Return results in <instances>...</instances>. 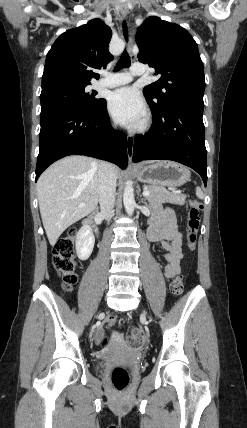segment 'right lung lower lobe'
Instances as JSON below:
<instances>
[{"label":"right lung lower lobe","instance_id":"98d812e1","mask_svg":"<svg viewBox=\"0 0 247 428\" xmlns=\"http://www.w3.org/2000/svg\"><path fill=\"white\" fill-rule=\"evenodd\" d=\"M110 132L106 100L92 113L66 108L41 112L36 181L50 164L68 155H86L104 159L126 168L128 164L126 135L114 131L108 148Z\"/></svg>","mask_w":247,"mask_h":428}]
</instances>
